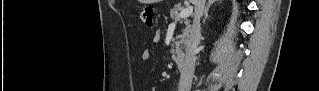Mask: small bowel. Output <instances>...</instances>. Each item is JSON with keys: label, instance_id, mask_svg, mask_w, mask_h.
I'll return each mask as SVG.
<instances>
[{"label": "small bowel", "instance_id": "c3829d8e", "mask_svg": "<svg viewBox=\"0 0 319 91\" xmlns=\"http://www.w3.org/2000/svg\"><path fill=\"white\" fill-rule=\"evenodd\" d=\"M151 58V54L148 50H145L142 55H141V59L144 61V62H147L149 61Z\"/></svg>", "mask_w": 319, "mask_h": 91}]
</instances>
